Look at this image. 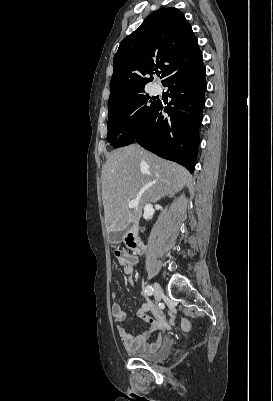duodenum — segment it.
Segmentation results:
<instances>
[{
	"label": "duodenum",
	"instance_id": "obj_1",
	"mask_svg": "<svg viewBox=\"0 0 273 401\" xmlns=\"http://www.w3.org/2000/svg\"><path fill=\"white\" fill-rule=\"evenodd\" d=\"M139 227L137 224H133L125 235V243L128 248L134 251L136 254H140L143 250L142 243L138 238Z\"/></svg>",
	"mask_w": 273,
	"mask_h": 401
}]
</instances>
